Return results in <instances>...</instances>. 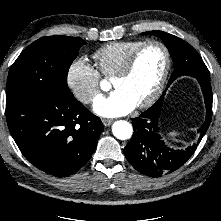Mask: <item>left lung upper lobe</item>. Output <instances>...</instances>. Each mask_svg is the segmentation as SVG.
I'll return each mask as SVG.
<instances>
[{"label": "left lung upper lobe", "instance_id": "obj_1", "mask_svg": "<svg viewBox=\"0 0 221 221\" xmlns=\"http://www.w3.org/2000/svg\"><path fill=\"white\" fill-rule=\"evenodd\" d=\"M155 35L162 39L170 51L175 70L168 85L182 75L193 76L198 79L210 80L209 71L197 51L182 39L163 31H149L141 35Z\"/></svg>", "mask_w": 221, "mask_h": 221}]
</instances>
